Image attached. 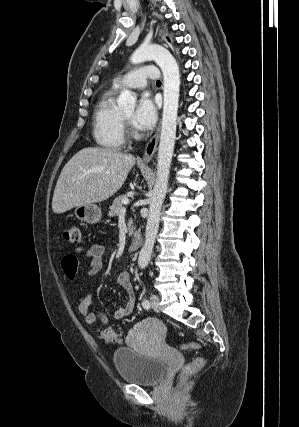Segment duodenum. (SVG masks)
Returning a JSON list of instances; mask_svg holds the SVG:
<instances>
[{"label":"duodenum","mask_w":299,"mask_h":427,"mask_svg":"<svg viewBox=\"0 0 299 427\" xmlns=\"http://www.w3.org/2000/svg\"><path fill=\"white\" fill-rule=\"evenodd\" d=\"M142 243V237L139 231L135 232L134 237L132 239L131 245L129 247V252H136Z\"/></svg>","instance_id":"obj_1"}]
</instances>
